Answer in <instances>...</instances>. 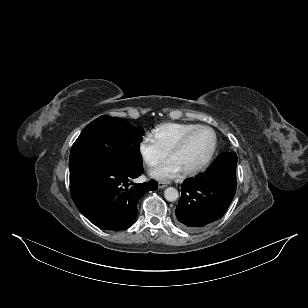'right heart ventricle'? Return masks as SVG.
<instances>
[{"label": "right heart ventricle", "instance_id": "1", "mask_svg": "<svg viewBox=\"0 0 308 308\" xmlns=\"http://www.w3.org/2000/svg\"><path fill=\"white\" fill-rule=\"evenodd\" d=\"M198 126L200 125L192 123H164L154 128L153 136L159 145L169 152L184 134Z\"/></svg>", "mask_w": 308, "mask_h": 308}]
</instances>
